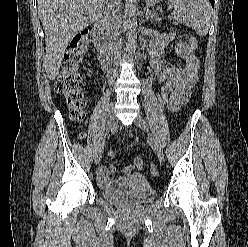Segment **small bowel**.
I'll return each mask as SVG.
<instances>
[{
    "label": "small bowel",
    "instance_id": "obj_1",
    "mask_svg": "<svg viewBox=\"0 0 248 247\" xmlns=\"http://www.w3.org/2000/svg\"><path fill=\"white\" fill-rule=\"evenodd\" d=\"M170 40V36L166 35L156 39L151 47L150 64L154 71L155 77L160 84L170 83L174 87V94L170 104L172 111H177L184 105L197 83L200 62L195 50L189 44L180 41L175 47V51L181 57L185 65L179 69L173 65L162 63V49ZM143 166V159L138 155L133 163L124 168V175L119 178H112L114 167L101 166L97 170L98 182L104 187H124L128 184L131 173L134 169H140Z\"/></svg>",
    "mask_w": 248,
    "mask_h": 247
}]
</instances>
